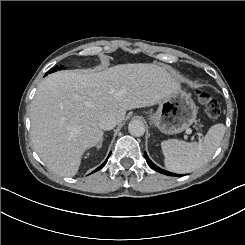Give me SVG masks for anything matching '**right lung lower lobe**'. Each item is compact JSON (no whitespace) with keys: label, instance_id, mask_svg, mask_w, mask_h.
Masks as SVG:
<instances>
[{"label":"right lung lower lobe","instance_id":"1","mask_svg":"<svg viewBox=\"0 0 245 245\" xmlns=\"http://www.w3.org/2000/svg\"><path fill=\"white\" fill-rule=\"evenodd\" d=\"M109 156H110V154H109ZM109 156H108V157H109ZM107 160H108V158L106 159V161H105L101 166H99L96 170H94V172H96V171H98L99 169H101V168L106 164Z\"/></svg>","mask_w":245,"mask_h":245}]
</instances>
